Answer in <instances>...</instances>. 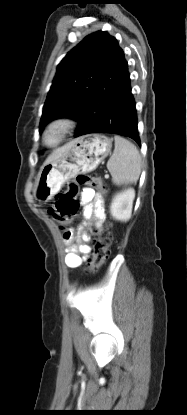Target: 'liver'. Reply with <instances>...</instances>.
<instances>
[{
    "instance_id": "1",
    "label": "liver",
    "mask_w": 187,
    "mask_h": 415,
    "mask_svg": "<svg viewBox=\"0 0 187 415\" xmlns=\"http://www.w3.org/2000/svg\"><path fill=\"white\" fill-rule=\"evenodd\" d=\"M70 147V144H66L63 147H60L52 152V154L47 158L45 163H50L57 158H59L68 148Z\"/></svg>"
}]
</instances>
